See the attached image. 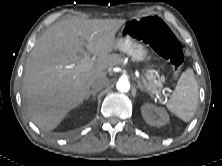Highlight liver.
I'll use <instances>...</instances> for the list:
<instances>
[{"instance_id":"obj_1","label":"liver","mask_w":222,"mask_h":166,"mask_svg":"<svg viewBox=\"0 0 222 166\" xmlns=\"http://www.w3.org/2000/svg\"><path fill=\"white\" fill-rule=\"evenodd\" d=\"M124 19L70 18L55 23L38 39L27 59L23 98L28 115L42 131L55 129L88 96L94 80L122 62L115 36ZM83 44L97 56L94 66L76 72L68 66L83 58Z\"/></svg>"}]
</instances>
